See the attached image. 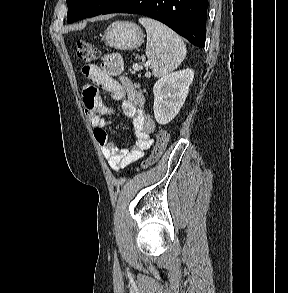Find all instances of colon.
I'll use <instances>...</instances> for the list:
<instances>
[{"instance_id": "5ec220e1", "label": "colon", "mask_w": 288, "mask_h": 293, "mask_svg": "<svg viewBox=\"0 0 288 293\" xmlns=\"http://www.w3.org/2000/svg\"><path fill=\"white\" fill-rule=\"evenodd\" d=\"M77 56L83 62H91L96 60L99 52L96 47L85 39H79L76 42ZM169 141V133L165 129H161L157 134V141L152 154L142 162L141 168L145 169L156 163L164 153Z\"/></svg>"}]
</instances>
